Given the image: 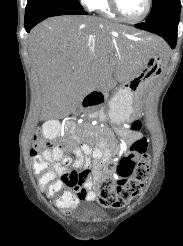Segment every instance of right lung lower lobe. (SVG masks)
<instances>
[{
	"label": "right lung lower lobe",
	"mask_w": 183,
	"mask_h": 246,
	"mask_svg": "<svg viewBox=\"0 0 183 246\" xmlns=\"http://www.w3.org/2000/svg\"><path fill=\"white\" fill-rule=\"evenodd\" d=\"M70 14H87V12L84 11L83 8H79V7L59 9L46 13L42 16L25 17L24 26L26 31L29 32L37 23L41 22L47 17L58 16V15H70Z\"/></svg>",
	"instance_id": "obj_1"
}]
</instances>
